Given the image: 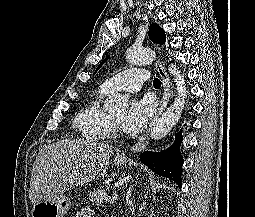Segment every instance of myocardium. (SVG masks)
<instances>
[{
    "mask_svg": "<svg viewBox=\"0 0 255 217\" xmlns=\"http://www.w3.org/2000/svg\"><path fill=\"white\" fill-rule=\"evenodd\" d=\"M111 120H112V125L117 126L118 122L113 117H111Z\"/></svg>",
    "mask_w": 255,
    "mask_h": 217,
    "instance_id": "1",
    "label": "myocardium"
}]
</instances>
